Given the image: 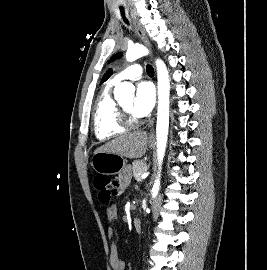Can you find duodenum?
I'll return each mask as SVG.
<instances>
[{"label":"duodenum","mask_w":267,"mask_h":270,"mask_svg":"<svg viewBox=\"0 0 267 270\" xmlns=\"http://www.w3.org/2000/svg\"><path fill=\"white\" fill-rule=\"evenodd\" d=\"M133 225H134V227H135L136 230H140L141 229V219H140V217L134 218Z\"/></svg>","instance_id":"1"}]
</instances>
